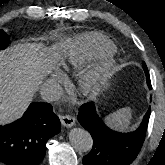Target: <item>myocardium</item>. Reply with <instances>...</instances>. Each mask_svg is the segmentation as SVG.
I'll list each match as a JSON object with an SVG mask.
<instances>
[{"label":"myocardium","mask_w":165,"mask_h":165,"mask_svg":"<svg viewBox=\"0 0 165 165\" xmlns=\"http://www.w3.org/2000/svg\"><path fill=\"white\" fill-rule=\"evenodd\" d=\"M102 57L101 64L97 69L89 71L81 76L79 91L83 96H92L96 94L103 76L110 72L115 66V60L112 58V54L104 55Z\"/></svg>","instance_id":"1"}]
</instances>
